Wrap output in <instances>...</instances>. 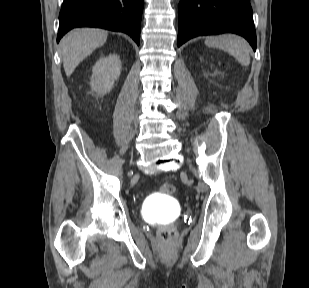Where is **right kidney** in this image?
<instances>
[{"label": "right kidney", "instance_id": "1", "mask_svg": "<svg viewBox=\"0 0 309 288\" xmlns=\"http://www.w3.org/2000/svg\"><path fill=\"white\" fill-rule=\"evenodd\" d=\"M91 89L100 95H105L114 86L120 76L121 61L115 54L101 57L93 67Z\"/></svg>", "mask_w": 309, "mask_h": 288}]
</instances>
